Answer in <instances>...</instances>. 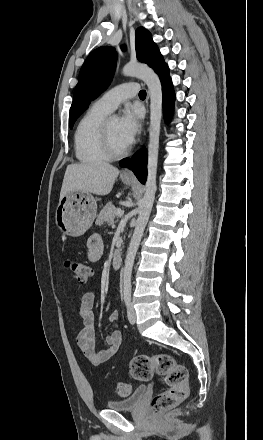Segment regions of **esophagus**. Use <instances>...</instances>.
<instances>
[{
    "instance_id": "34e87169",
    "label": "esophagus",
    "mask_w": 263,
    "mask_h": 440,
    "mask_svg": "<svg viewBox=\"0 0 263 440\" xmlns=\"http://www.w3.org/2000/svg\"><path fill=\"white\" fill-rule=\"evenodd\" d=\"M121 176L125 179H135L134 174L130 168H125L122 171Z\"/></svg>"
}]
</instances>
